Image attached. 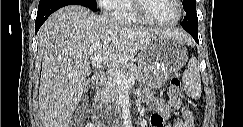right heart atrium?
<instances>
[{
    "instance_id": "obj_1",
    "label": "right heart atrium",
    "mask_w": 243,
    "mask_h": 127,
    "mask_svg": "<svg viewBox=\"0 0 243 127\" xmlns=\"http://www.w3.org/2000/svg\"><path fill=\"white\" fill-rule=\"evenodd\" d=\"M112 1L113 0H98L97 3L102 8L104 13H110L111 12L110 4Z\"/></svg>"
}]
</instances>
